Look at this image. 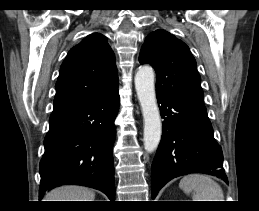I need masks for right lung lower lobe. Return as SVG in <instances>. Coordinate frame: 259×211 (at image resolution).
Segmentation results:
<instances>
[{
  "instance_id": "obj_1",
  "label": "right lung lower lobe",
  "mask_w": 259,
  "mask_h": 211,
  "mask_svg": "<svg viewBox=\"0 0 259 211\" xmlns=\"http://www.w3.org/2000/svg\"><path fill=\"white\" fill-rule=\"evenodd\" d=\"M118 90L93 102L53 111L40 161L39 195L63 184L88 186L115 199L112 148Z\"/></svg>"
}]
</instances>
